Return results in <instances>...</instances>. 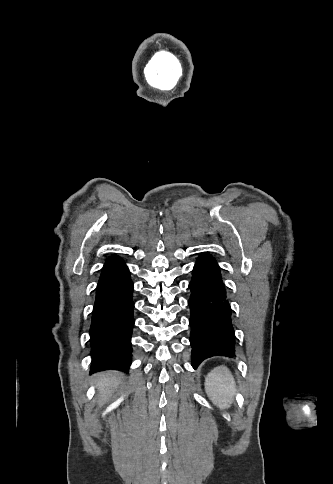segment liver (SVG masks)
Here are the masks:
<instances>
[{
	"mask_svg": "<svg viewBox=\"0 0 333 484\" xmlns=\"http://www.w3.org/2000/svg\"><path fill=\"white\" fill-rule=\"evenodd\" d=\"M121 383V374L107 371L98 375L97 388L100 394L99 403L103 404Z\"/></svg>",
	"mask_w": 333,
	"mask_h": 484,
	"instance_id": "liver-1",
	"label": "liver"
}]
</instances>
